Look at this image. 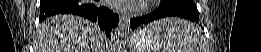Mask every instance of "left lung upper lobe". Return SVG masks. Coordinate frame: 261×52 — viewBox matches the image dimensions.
<instances>
[{
  "label": "left lung upper lobe",
  "instance_id": "left-lung-upper-lobe-1",
  "mask_svg": "<svg viewBox=\"0 0 261 52\" xmlns=\"http://www.w3.org/2000/svg\"><path fill=\"white\" fill-rule=\"evenodd\" d=\"M163 5H185L197 11V7L193 0H163Z\"/></svg>",
  "mask_w": 261,
  "mask_h": 52
}]
</instances>
